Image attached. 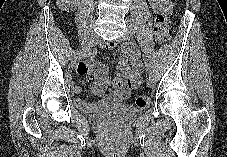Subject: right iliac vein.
<instances>
[{"label":"right iliac vein","mask_w":227,"mask_h":157,"mask_svg":"<svg viewBox=\"0 0 227 157\" xmlns=\"http://www.w3.org/2000/svg\"><path fill=\"white\" fill-rule=\"evenodd\" d=\"M97 43L98 36L96 34H92L89 39L82 45V48L74 55L71 61L72 67L74 68L76 64L83 58L84 54L90 51Z\"/></svg>","instance_id":"obj_1"}]
</instances>
